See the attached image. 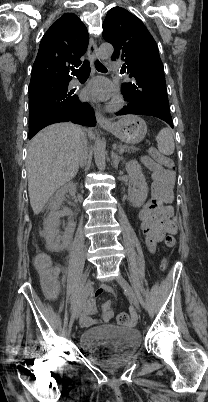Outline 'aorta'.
<instances>
[{
  "instance_id": "762f6f07",
  "label": "aorta",
  "mask_w": 208,
  "mask_h": 402,
  "mask_svg": "<svg viewBox=\"0 0 208 402\" xmlns=\"http://www.w3.org/2000/svg\"><path fill=\"white\" fill-rule=\"evenodd\" d=\"M113 54V48L110 44H101L97 50L98 60H109ZM95 164L100 170L105 168V146L102 142H98L94 148Z\"/></svg>"
}]
</instances>
